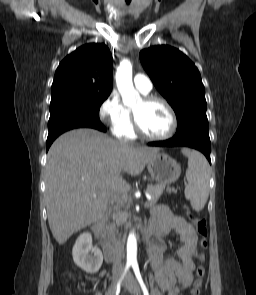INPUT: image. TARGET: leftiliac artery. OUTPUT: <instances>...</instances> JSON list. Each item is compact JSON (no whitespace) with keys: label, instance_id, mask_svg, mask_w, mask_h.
I'll return each mask as SVG.
<instances>
[{"label":"left iliac artery","instance_id":"1","mask_svg":"<svg viewBox=\"0 0 256 295\" xmlns=\"http://www.w3.org/2000/svg\"><path fill=\"white\" fill-rule=\"evenodd\" d=\"M132 268H133V271L135 273V276L141 286V289L143 291V294L144 295H149V292H148V289L142 279V276H141V273H140V270H139V266H138V263L137 262H132Z\"/></svg>","mask_w":256,"mask_h":295}]
</instances>
